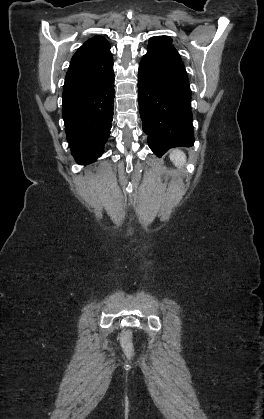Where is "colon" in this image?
Returning a JSON list of instances; mask_svg holds the SVG:
<instances>
[{"label":"colon","mask_w":264,"mask_h":419,"mask_svg":"<svg viewBox=\"0 0 264 419\" xmlns=\"http://www.w3.org/2000/svg\"><path fill=\"white\" fill-rule=\"evenodd\" d=\"M120 341L124 354L127 357H131L133 355L132 332L130 330L124 331L121 335Z\"/></svg>","instance_id":"obj_1"}]
</instances>
